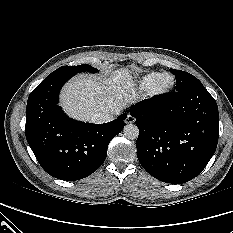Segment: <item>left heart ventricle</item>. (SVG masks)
<instances>
[{
  "label": "left heart ventricle",
  "instance_id": "obj_1",
  "mask_svg": "<svg viewBox=\"0 0 233 233\" xmlns=\"http://www.w3.org/2000/svg\"><path fill=\"white\" fill-rule=\"evenodd\" d=\"M169 82H170V78H169V77H164V78L161 80L160 85H161V86H166V85L169 84Z\"/></svg>",
  "mask_w": 233,
  "mask_h": 233
}]
</instances>
